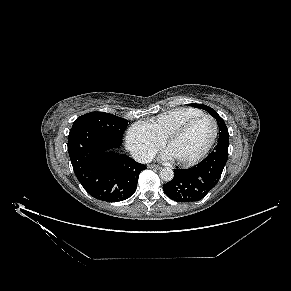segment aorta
Segmentation results:
<instances>
[{
	"instance_id": "762f6f07",
	"label": "aorta",
	"mask_w": 291,
	"mask_h": 291,
	"mask_svg": "<svg viewBox=\"0 0 291 291\" xmlns=\"http://www.w3.org/2000/svg\"><path fill=\"white\" fill-rule=\"evenodd\" d=\"M159 175H160V178L163 180V181H166V182H169L173 179L174 177V172L171 168L169 167H164L160 170L159 172Z\"/></svg>"
}]
</instances>
